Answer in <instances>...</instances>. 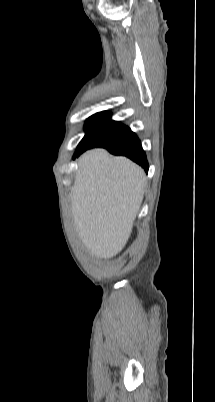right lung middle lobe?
<instances>
[{"label":"right lung middle lobe","mask_w":215,"mask_h":402,"mask_svg":"<svg viewBox=\"0 0 215 402\" xmlns=\"http://www.w3.org/2000/svg\"><path fill=\"white\" fill-rule=\"evenodd\" d=\"M129 130L120 122L111 120L109 112H99L87 119L86 134L78 146L109 145L121 139Z\"/></svg>","instance_id":"obj_1"}]
</instances>
